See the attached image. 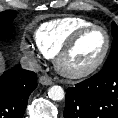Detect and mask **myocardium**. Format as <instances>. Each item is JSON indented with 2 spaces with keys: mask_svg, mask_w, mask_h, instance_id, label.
I'll return each mask as SVG.
<instances>
[{
  "mask_svg": "<svg viewBox=\"0 0 118 118\" xmlns=\"http://www.w3.org/2000/svg\"><path fill=\"white\" fill-rule=\"evenodd\" d=\"M93 30L102 31L106 38V45L101 56L89 67L79 69V70H72L67 68L65 66V60L68 57V55L74 49V47L82 38V36H84L86 33ZM110 47H111V37L108 31L104 27L96 24L85 26L77 30L61 47V49L55 56V60H54L55 68L59 74L69 79H78V78L86 77L92 74L93 72H95L104 63L110 51Z\"/></svg>",
  "mask_w": 118,
  "mask_h": 118,
  "instance_id": "obj_1",
  "label": "myocardium"
}]
</instances>
